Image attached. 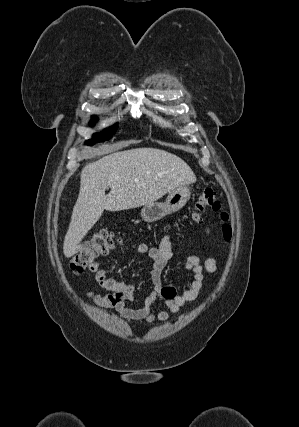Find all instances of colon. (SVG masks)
<instances>
[{
    "label": "colon",
    "mask_w": 299,
    "mask_h": 427,
    "mask_svg": "<svg viewBox=\"0 0 299 427\" xmlns=\"http://www.w3.org/2000/svg\"><path fill=\"white\" fill-rule=\"evenodd\" d=\"M206 210L217 213L222 223V235L225 240L229 241L232 236L231 226L228 224V214L225 212L217 194L212 189L202 190L195 203V212L193 217L199 219L200 214ZM118 239L115 233L108 229H101L96 232L89 241L70 259V269L73 273H81L96 262V260L108 254L117 243Z\"/></svg>",
    "instance_id": "obj_1"
}]
</instances>
